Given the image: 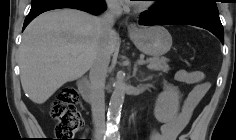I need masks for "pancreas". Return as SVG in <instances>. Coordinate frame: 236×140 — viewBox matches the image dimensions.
<instances>
[{
	"instance_id": "1",
	"label": "pancreas",
	"mask_w": 236,
	"mask_h": 140,
	"mask_svg": "<svg viewBox=\"0 0 236 140\" xmlns=\"http://www.w3.org/2000/svg\"><path fill=\"white\" fill-rule=\"evenodd\" d=\"M168 59L165 57H153L146 60L147 67L150 70L168 72L170 70L169 65L167 64Z\"/></svg>"
}]
</instances>
